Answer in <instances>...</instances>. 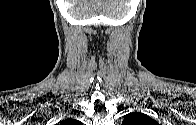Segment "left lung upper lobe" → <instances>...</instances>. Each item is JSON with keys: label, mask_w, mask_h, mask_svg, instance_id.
Wrapping results in <instances>:
<instances>
[{"label": "left lung upper lobe", "mask_w": 196, "mask_h": 125, "mask_svg": "<svg viewBox=\"0 0 196 125\" xmlns=\"http://www.w3.org/2000/svg\"><path fill=\"white\" fill-rule=\"evenodd\" d=\"M122 125H157V122L143 113L132 112L125 116Z\"/></svg>", "instance_id": "obj_1"}]
</instances>
